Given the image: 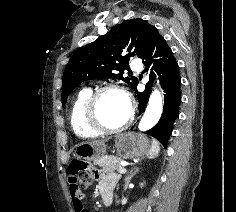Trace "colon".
Wrapping results in <instances>:
<instances>
[{
	"label": "colon",
	"instance_id": "colon-1",
	"mask_svg": "<svg viewBox=\"0 0 236 212\" xmlns=\"http://www.w3.org/2000/svg\"><path fill=\"white\" fill-rule=\"evenodd\" d=\"M70 175H78L79 182H81L82 185H86V187H88L95 180L97 172L87 163L76 160L70 165Z\"/></svg>",
	"mask_w": 236,
	"mask_h": 212
}]
</instances>
